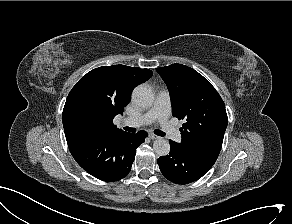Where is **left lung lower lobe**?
Masks as SVG:
<instances>
[{
  "instance_id": "obj_1",
  "label": "left lung lower lobe",
  "mask_w": 292,
  "mask_h": 224,
  "mask_svg": "<svg viewBox=\"0 0 292 224\" xmlns=\"http://www.w3.org/2000/svg\"><path fill=\"white\" fill-rule=\"evenodd\" d=\"M169 155L157 159L163 176L177 184L198 180L213 166L200 156L170 140Z\"/></svg>"
}]
</instances>
